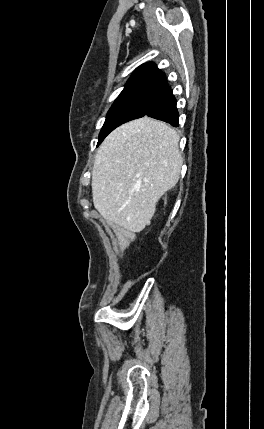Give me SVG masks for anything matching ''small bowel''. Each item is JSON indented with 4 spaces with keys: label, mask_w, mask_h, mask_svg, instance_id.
I'll use <instances>...</instances> for the list:
<instances>
[{
    "label": "small bowel",
    "mask_w": 264,
    "mask_h": 429,
    "mask_svg": "<svg viewBox=\"0 0 264 429\" xmlns=\"http://www.w3.org/2000/svg\"><path fill=\"white\" fill-rule=\"evenodd\" d=\"M115 242L121 248H127L134 240L135 236L128 230L115 229Z\"/></svg>",
    "instance_id": "c3829d8e"
}]
</instances>
